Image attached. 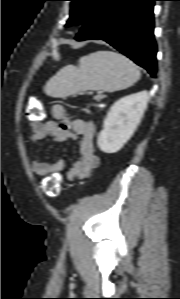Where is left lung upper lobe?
Wrapping results in <instances>:
<instances>
[{"label":"left lung upper lobe","mask_w":180,"mask_h":299,"mask_svg":"<svg viewBox=\"0 0 180 299\" xmlns=\"http://www.w3.org/2000/svg\"><path fill=\"white\" fill-rule=\"evenodd\" d=\"M71 12L66 26L78 25L84 23L89 13L99 0H70Z\"/></svg>","instance_id":"obj_1"}]
</instances>
